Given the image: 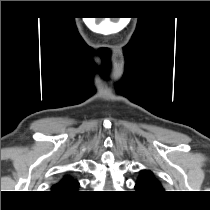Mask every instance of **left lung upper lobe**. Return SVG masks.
I'll list each match as a JSON object with an SVG mask.
<instances>
[{"instance_id": "1", "label": "left lung upper lobe", "mask_w": 210, "mask_h": 210, "mask_svg": "<svg viewBox=\"0 0 210 210\" xmlns=\"http://www.w3.org/2000/svg\"><path fill=\"white\" fill-rule=\"evenodd\" d=\"M135 188L142 193L158 194L162 193L164 188L160 181L150 170H141L136 181Z\"/></svg>"}]
</instances>
